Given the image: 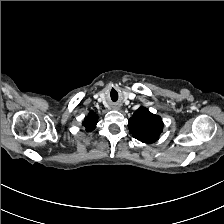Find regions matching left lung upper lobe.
Returning a JSON list of instances; mask_svg holds the SVG:
<instances>
[{
  "label": "left lung upper lobe",
  "mask_w": 224,
  "mask_h": 224,
  "mask_svg": "<svg viewBox=\"0 0 224 224\" xmlns=\"http://www.w3.org/2000/svg\"><path fill=\"white\" fill-rule=\"evenodd\" d=\"M128 128L139 141L154 143L163 130V122L160 116L152 114L145 107H140L129 119Z\"/></svg>",
  "instance_id": "5c2ea615"
}]
</instances>
